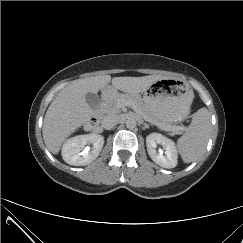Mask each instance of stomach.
Returning a JSON list of instances; mask_svg holds the SVG:
<instances>
[{
  "instance_id": "0dacf381",
  "label": "stomach",
  "mask_w": 243,
  "mask_h": 243,
  "mask_svg": "<svg viewBox=\"0 0 243 243\" xmlns=\"http://www.w3.org/2000/svg\"><path fill=\"white\" fill-rule=\"evenodd\" d=\"M152 85L143 93V103L150 113L170 125L187 118L194 99L190 86L177 80H159Z\"/></svg>"
}]
</instances>
